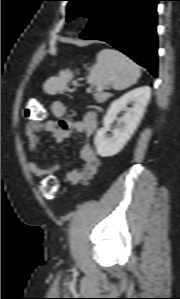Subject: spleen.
Here are the masks:
<instances>
[{
	"label": "spleen",
	"instance_id": "spleen-1",
	"mask_svg": "<svg viewBox=\"0 0 180 299\" xmlns=\"http://www.w3.org/2000/svg\"><path fill=\"white\" fill-rule=\"evenodd\" d=\"M140 77V67L129 57L115 49H103L97 54L96 62L90 68L88 83L98 87H112L124 90L135 84ZM73 79V73L63 70L58 77H51L45 86L50 94L66 89Z\"/></svg>",
	"mask_w": 180,
	"mask_h": 299
}]
</instances>
